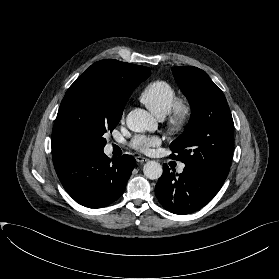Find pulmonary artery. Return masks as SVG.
Listing matches in <instances>:
<instances>
[{
	"label": "pulmonary artery",
	"mask_w": 279,
	"mask_h": 279,
	"mask_svg": "<svg viewBox=\"0 0 279 279\" xmlns=\"http://www.w3.org/2000/svg\"><path fill=\"white\" fill-rule=\"evenodd\" d=\"M184 167H185V165H184V164H180V165H179V168H178V169H179V171H183Z\"/></svg>",
	"instance_id": "e3ab8cb5"
}]
</instances>
